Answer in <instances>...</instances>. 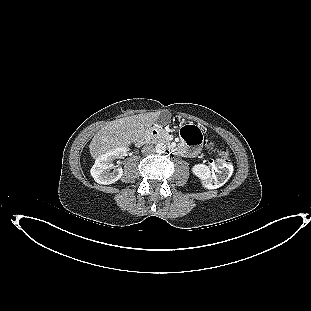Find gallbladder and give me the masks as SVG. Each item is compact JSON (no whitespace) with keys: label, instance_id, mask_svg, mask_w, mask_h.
I'll use <instances>...</instances> for the list:
<instances>
[{"label":"gallbladder","instance_id":"bac80fb5","mask_svg":"<svg viewBox=\"0 0 311 311\" xmlns=\"http://www.w3.org/2000/svg\"><path fill=\"white\" fill-rule=\"evenodd\" d=\"M171 121V113L169 111H162L156 122L160 125H167Z\"/></svg>","mask_w":311,"mask_h":311}]
</instances>
